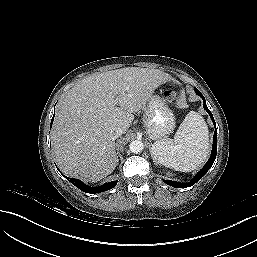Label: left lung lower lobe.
Wrapping results in <instances>:
<instances>
[{
    "label": "left lung lower lobe",
    "mask_w": 257,
    "mask_h": 257,
    "mask_svg": "<svg viewBox=\"0 0 257 257\" xmlns=\"http://www.w3.org/2000/svg\"><path fill=\"white\" fill-rule=\"evenodd\" d=\"M195 92H196L197 95H199L203 99L204 109L210 115V117H211V119L213 121V124L215 126V132H214V137H213L212 153H211V156H210L208 162L205 164V166L195 175V177L190 182H188V183H180V182H176V181L164 180V182L166 184H168V185H170L172 187H175V188H186V187H190V186L194 185L211 168V166L213 165L214 160L216 158V155H217V130H216L215 120L213 118V115H212L211 111L207 108L204 96L201 94V92L197 88H195Z\"/></svg>",
    "instance_id": "left-lung-lower-lobe-1"
}]
</instances>
